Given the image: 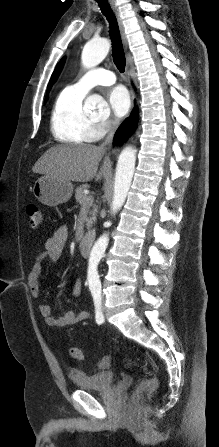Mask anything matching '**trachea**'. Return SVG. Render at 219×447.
Segmentation results:
<instances>
[{"mask_svg": "<svg viewBox=\"0 0 219 447\" xmlns=\"http://www.w3.org/2000/svg\"><path fill=\"white\" fill-rule=\"evenodd\" d=\"M96 1L102 13L105 15L110 24L109 33L112 41V57L114 64L121 72H123L126 65V59L116 16L112 11L108 3V0H96Z\"/></svg>", "mask_w": 219, "mask_h": 447, "instance_id": "3493384b", "label": "trachea"}]
</instances>
